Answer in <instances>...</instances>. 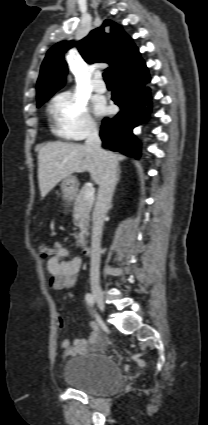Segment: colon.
I'll use <instances>...</instances> for the list:
<instances>
[{"instance_id": "1", "label": "colon", "mask_w": 208, "mask_h": 425, "mask_svg": "<svg viewBox=\"0 0 208 425\" xmlns=\"http://www.w3.org/2000/svg\"><path fill=\"white\" fill-rule=\"evenodd\" d=\"M39 252L42 257H50L54 254V249L46 244H41L39 246Z\"/></svg>"}]
</instances>
